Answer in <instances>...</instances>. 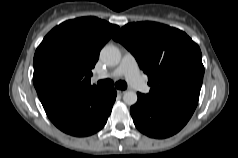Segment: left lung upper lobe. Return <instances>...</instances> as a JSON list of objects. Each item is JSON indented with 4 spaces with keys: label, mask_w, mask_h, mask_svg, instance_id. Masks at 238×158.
I'll list each match as a JSON object with an SVG mask.
<instances>
[{
    "label": "left lung upper lobe",
    "mask_w": 238,
    "mask_h": 158,
    "mask_svg": "<svg viewBox=\"0 0 238 158\" xmlns=\"http://www.w3.org/2000/svg\"><path fill=\"white\" fill-rule=\"evenodd\" d=\"M148 75L150 95L200 91L204 75L199 46L183 31L156 22L130 23L113 37Z\"/></svg>",
    "instance_id": "5c2ea615"
}]
</instances>
